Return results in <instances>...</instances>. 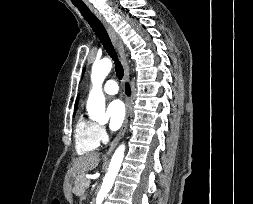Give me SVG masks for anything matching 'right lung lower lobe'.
<instances>
[{"label": "right lung lower lobe", "instance_id": "98d812e1", "mask_svg": "<svg viewBox=\"0 0 253 204\" xmlns=\"http://www.w3.org/2000/svg\"><path fill=\"white\" fill-rule=\"evenodd\" d=\"M126 92H127V94H129V87L128 86L126 87Z\"/></svg>", "mask_w": 253, "mask_h": 204}]
</instances>
